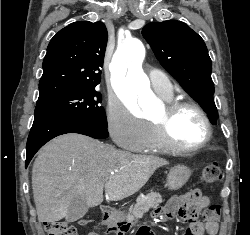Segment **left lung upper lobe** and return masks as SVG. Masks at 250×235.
<instances>
[{
    "instance_id": "5c2ea615",
    "label": "left lung upper lobe",
    "mask_w": 250,
    "mask_h": 235,
    "mask_svg": "<svg viewBox=\"0 0 250 235\" xmlns=\"http://www.w3.org/2000/svg\"><path fill=\"white\" fill-rule=\"evenodd\" d=\"M142 35L161 65L216 124L218 111L213 100L212 63L201 36L181 21L149 23Z\"/></svg>"
}]
</instances>
